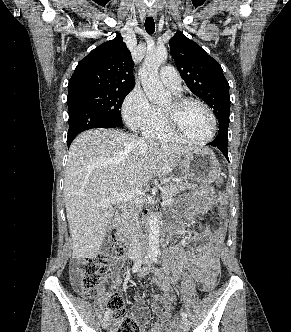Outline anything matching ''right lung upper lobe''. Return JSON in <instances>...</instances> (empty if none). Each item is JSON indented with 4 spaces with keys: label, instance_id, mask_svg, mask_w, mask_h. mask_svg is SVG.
Here are the masks:
<instances>
[{
    "label": "right lung upper lobe",
    "instance_id": "cb5924a9",
    "mask_svg": "<svg viewBox=\"0 0 291 332\" xmlns=\"http://www.w3.org/2000/svg\"><path fill=\"white\" fill-rule=\"evenodd\" d=\"M135 85L133 61L120 34L92 50L82 59L68 84V97L114 89H131Z\"/></svg>",
    "mask_w": 291,
    "mask_h": 332
}]
</instances>
